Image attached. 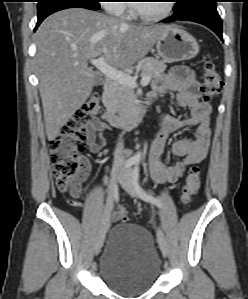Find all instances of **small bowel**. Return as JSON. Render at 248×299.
<instances>
[{
	"instance_id": "c3829d8e",
	"label": "small bowel",
	"mask_w": 248,
	"mask_h": 299,
	"mask_svg": "<svg viewBox=\"0 0 248 299\" xmlns=\"http://www.w3.org/2000/svg\"><path fill=\"white\" fill-rule=\"evenodd\" d=\"M171 91L176 94L177 104L189 109V115L184 118L162 116L155 138L148 153V167L152 179L156 183L178 181L186 168L199 165L206 157L210 146V114L211 106L200 100V85L195 74L184 67H177L171 73L163 75L154 84L150 96L155 98ZM194 127L193 140L180 138L172 145L174 155L180 157L178 161L166 166L162 161L165 150L166 137L176 131ZM87 132V148L93 154L102 151L106 144L105 133L109 126L96 118L85 125ZM86 169L89 162L85 160ZM112 221L118 219V211L111 217Z\"/></svg>"
}]
</instances>
